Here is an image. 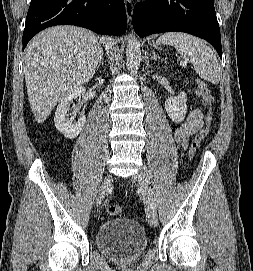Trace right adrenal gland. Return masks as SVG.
<instances>
[{"label": "right adrenal gland", "mask_w": 253, "mask_h": 271, "mask_svg": "<svg viewBox=\"0 0 253 271\" xmlns=\"http://www.w3.org/2000/svg\"><path fill=\"white\" fill-rule=\"evenodd\" d=\"M103 52L101 53L100 57H99V61H98V64H97V71H98V68L100 67V65L102 64L103 65Z\"/></svg>", "instance_id": "1"}]
</instances>
